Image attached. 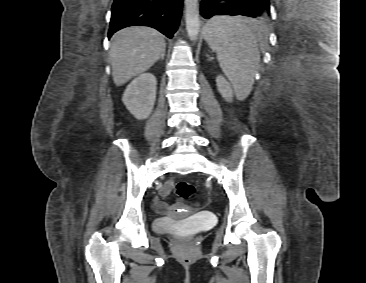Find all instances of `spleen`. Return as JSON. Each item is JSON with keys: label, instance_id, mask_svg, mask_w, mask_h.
I'll return each mask as SVG.
<instances>
[{"label": "spleen", "instance_id": "1", "mask_svg": "<svg viewBox=\"0 0 366 283\" xmlns=\"http://www.w3.org/2000/svg\"><path fill=\"white\" fill-rule=\"evenodd\" d=\"M261 35L262 28L256 21L228 16L214 17L205 28V39L216 51L220 68L240 100L252 91L260 62Z\"/></svg>", "mask_w": 366, "mask_h": 283}]
</instances>
